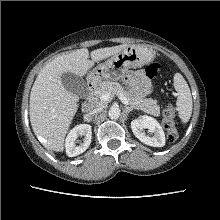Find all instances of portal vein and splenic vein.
<instances>
[{
  "label": "portal vein and splenic vein",
  "mask_w": 220,
  "mask_h": 220,
  "mask_svg": "<svg viewBox=\"0 0 220 220\" xmlns=\"http://www.w3.org/2000/svg\"><path fill=\"white\" fill-rule=\"evenodd\" d=\"M116 94L123 104H125V105L129 104L127 98L121 92H117ZM112 98H113V96L110 93H104L100 97V100L103 102H109L112 100Z\"/></svg>",
  "instance_id": "1"
}]
</instances>
